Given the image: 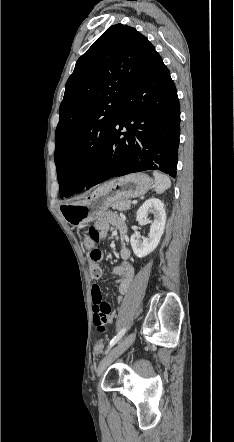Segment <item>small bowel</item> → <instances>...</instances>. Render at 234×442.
Listing matches in <instances>:
<instances>
[{"instance_id": "small-bowel-1", "label": "small bowel", "mask_w": 234, "mask_h": 442, "mask_svg": "<svg viewBox=\"0 0 234 442\" xmlns=\"http://www.w3.org/2000/svg\"><path fill=\"white\" fill-rule=\"evenodd\" d=\"M112 226L119 231L122 237H125L127 233L125 220L118 214L106 212L99 215L95 224L99 239L104 238L107 235L109 228ZM119 256L121 258V263L118 266H115L112 271L115 275L119 276L117 283L120 293L118 302L120 303L123 300V295L128 291L131 285L134 276V269L129 263V258L131 256L130 250L124 243L119 248ZM101 260L102 255L100 256L99 262ZM94 287L100 289L98 285H94L92 290ZM115 317L116 312L112 311L111 309L107 314H93V326L94 328H99L101 333H105L107 331L108 323H112Z\"/></svg>"}]
</instances>
